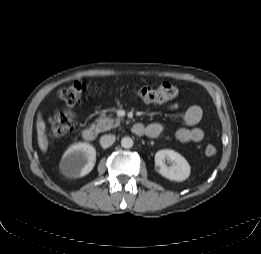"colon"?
Returning <instances> with one entry per match:
<instances>
[{
  "label": "colon",
  "instance_id": "5ec220e1",
  "mask_svg": "<svg viewBox=\"0 0 261 254\" xmlns=\"http://www.w3.org/2000/svg\"><path fill=\"white\" fill-rule=\"evenodd\" d=\"M87 90V85L82 81H75L71 85L59 91V98L68 106L77 104ZM136 97L150 102H163L177 97L180 88L170 82H162L157 87L136 86L133 89ZM75 124V117L71 112H60L50 119V130L55 136H63L70 132ZM204 152L206 156L216 155L217 148L213 144L206 145Z\"/></svg>",
  "mask_w": 261,
  "mask_h": 254
}]
</instances>
